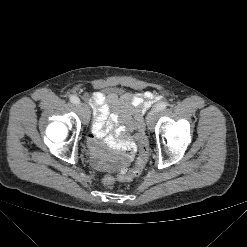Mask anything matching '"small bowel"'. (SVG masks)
Listing matches in <instances>:
<instances>
[{"mask_svg":"<svg viewBox=\"0 0 247 247\" xmlns=\"http://www.w3.org/2000/svg\"><path fill=\"white\" fill-rule=\"evenodd\" d=\"M84 98L89 101L94 114L92 132L88 136L94 165L106 172L123 170L132 162L137 152V145L128 133L136 134L142 130L143 115L154 102V94L95 92ZM112 131L114 135L111 134ZM104 145L118 156L108 158Z\"/></svg>","mask_w":247,"mask_h":247,"instance_id":"obj_1","label":"small bowel"}]
</instances>
